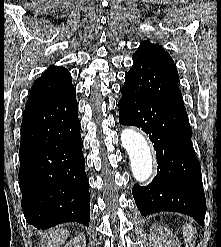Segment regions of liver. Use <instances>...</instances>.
Here are the masks:
<instances>
[{
    "label": "liver",
    "instance_id": "obj_1",
    "mask_svg": "<svg viewBox=\"0 0 221 247\" xmlns=\"http://www.w3.org/2000/svg\"><path fill=\"white\" fill-rule=\"evenodd\" d=\"M69 236L67 230L54 229L43 234L41 247H60Z\"/></svg>",
    "mask_w": 221,
    "mask_h": 247
}]
</instances>
